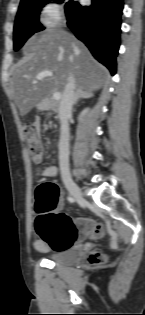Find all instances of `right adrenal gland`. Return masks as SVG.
<instances>
[{"label":"right adrenal gland","mask_w":145,"mask_h":315,"mask_svg":"<svg viewBox=\"0 0 145 315\" xmlns=\"http://www.w3.org/2000/svg\"><path fill=\"white\" fill-rule=\"evenodd\" d=\"M92 97V93L86 91V90H82V89H78L76 91V95L74 98V105L77 103V101L81 98H90Z\"/></svg>","instance_id":"1"}]
</instances>
